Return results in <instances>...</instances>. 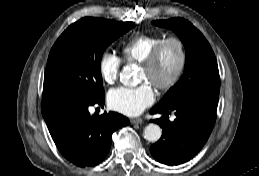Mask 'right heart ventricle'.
Segmentation results:
<instances>
[{
	"instance_id": "e07e8e85",
	"label": "right heart ventricle",
	"mask_w": 259,
	"mask_h": 176,
	"mask_svg": "<svg viewBox=\"0 0 259 176\" xmlns=\"http://www.w3.org/2000/svg\"><path fill=\"white\" fill-rule=\"evenodd\" d=\"M163 39L164 36L161 34L134 35L123 45V57L129 63H141Z\"/></svg>"
}]
</instances>
